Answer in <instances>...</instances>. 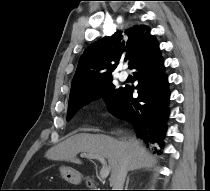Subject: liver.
<instances>
[{"mask_svg":"<svg viewBox=\"0 0 210 191\" xmlns=\"http://www.w3.org/2000/svg\"><path fill=\"white\" fill-rule=\"evenodd\" d=\"M100 155L108 159L111 170L110 183L122 163L128 170L154 165L155 159L146 151L142 142L135 137L117 140L102 134L79 133L50 148L45 156L54 161L81 164L78 153Z\"/></svg>","mask_w":210,"mask_h":191,"instance_id":"obj_1","label":"liver"}]
</instances>
